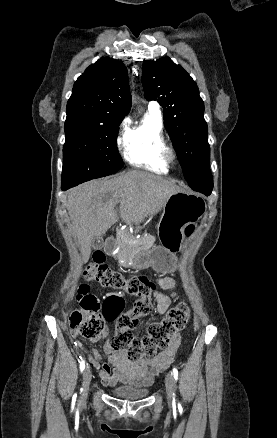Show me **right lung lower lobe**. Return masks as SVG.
<instances>
[{"label":"right lung lower lobe","instance_id":"1","mask_svg":"<svg viewBox=\"0 0 277 438\" xmlns=\"http://www.w3.org/2000/svg\"><path fill=\"white\" fill-rule=\"evenodd\" d=\"M71 187H73V185H68V184H62L61 185V188H62V190H67V189H69V188H71Z\"/></svg>","mask_w":277,"mask_h":438}]
</instances>
